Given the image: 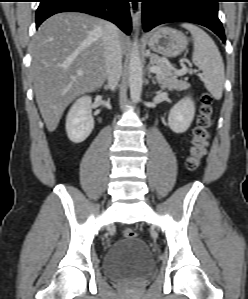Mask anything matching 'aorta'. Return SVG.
<instances>
[{"mask_svg":"<svg viewBox=\"0 0 248 299\" xmlns=\"http://www.w3.org/2000/svg\"><path fill=\"white\" fill-rule=\"evenodd\" d=\"M129 87L130 96L133 102H138L141 97L143 84L142 62L138 50V40L134 39L129 61Z\"/></svg>","mask_w":248,"mask_h":299,"instance_id":"obj_1","label":"aorta"}]
</instances>
